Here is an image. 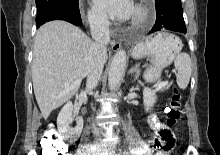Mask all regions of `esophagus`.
<instances>
[{
  "instance_id": "1",
  "label": "esophagus",
  "mask_w": 220,
  "mask_h": 155,
  "mask_svg": "<svg viewBox=\"0 0 220 155\" xmlns=\"http://www.w3.org/2000/svg\"><path fill=\"white\" fill-rule=\"evenodd\" d=\"M111 47L114 51H118L121 48V43L119 41H112Z\"/></svg>"
}]
</instances>
